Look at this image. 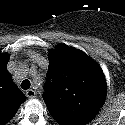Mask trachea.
<instances>
[{"label": "trachea", "mask_w": 125, "mask_h": 125, "mask_svg": "<svg viewBox=\"0 0 125 125\" xmlns=\"http://www.w3.org/2000/svg\"><path fill=\"white\" fill-rule=\"evenodd\" d=\"M31 86V83L28 79H25L24 81H22L21 83V88L24 89V90H27L29 89Z\"/></svg>", "instance_id": "1"}]
</instances>
